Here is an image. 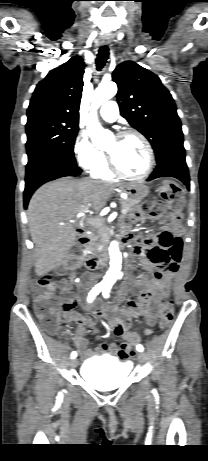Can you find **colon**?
Segmentation results:
<instances>
[{"label":"colon","instance_id":"colon-1","mask_svg":"<svg viewBox=\"0 0 208 461\" xmlns=\"http://www.w3.org/2000/svg\"><path fill=\"white\" fill-rule=\"evenodd\" d=\"M158 200L146 202L142 209L146 213L155 216L163 211H169L168 219L170 221H178L181 219L180 208L182 206V189L173 181H165L159 188ZM144 251H165L153 250L151 245H146ZM60 285L52 276H45L36 280L32 284L33 300L35 310L40 318L45 330L56 335L59 331V309L62 307L60 299L55 295L56 288ZM173 320V306L169 301L162 304L160 308V324L162 327L169 325ZM140 346L139 340H124L123 344L119 345V350L125 354L132 356L134 351L132 348Z\"/></svg>","mask_w":208,"mask_h":461}]
</instances>
